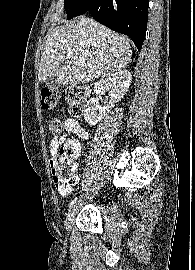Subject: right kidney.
<instances>
[{
	"mask_svg": "<svg viewBox=\"0 0 195 270\" xmlns=\"http://www.w3.org/2000/svg\"><path fill=\"white\" fill-rule=\"evenodd\" d=\"M132 75L128 70H119L107 78H102L94 85L96 97L89 99L84 109V118L89 125H96L120 101L131 84ZM110 90V101L105 107L99 105V98Z\"/></svg>",
	"mask_w": 195,
	"mask_h": 270,
	"instance_id": "obj_1",
	"label": "right kidney"
}]
</instances>
